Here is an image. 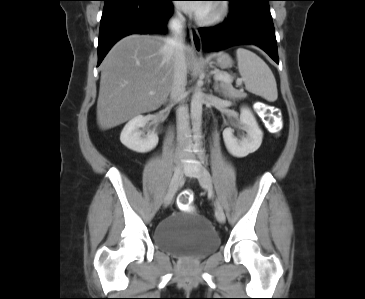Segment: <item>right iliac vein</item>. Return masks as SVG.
I'll return each instance as SVG.
<instances>
[{"label":"right iliac vein","mask_w":365,"mask_h":299,"mask_svg":"<svg viewBox=\"0 0 365 299\" xmlns=\"http://www.w3.org/2000/svg\"><path fill=\"white\" fill-rule=\"evenodd\" d=\"M183 173H184L183 165L181 163H177L174 167L173 176L171 178V181H170V184L168 187V191H167V194L164 199L165 207L171 203L173 196H174L175 192L177 191L180 181L183 177Z\"/></svg>","instance_id":"1"}]
</instances>
